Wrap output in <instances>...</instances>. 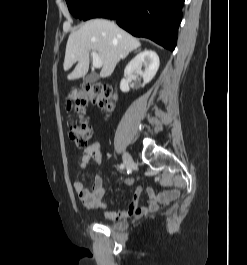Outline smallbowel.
<instances>
[{
    "label": "small bowel",
    "instance_id": "obj_1",
    "mask_svg": "<svg viewBox=\"0 0 247 265\" xmlns=\"http://www.w3.org/2000/svg\"><path fill=\"white\" fill-rule=\"evenodd\" d=\"M90 159H93L97 164H102L103 155L100 143L94 142L87 146L81 156L80 167L86 169ZM74 190L85 207L103 210V216L110 221L122 220L132 216L140 217L158 211L161 207L169 204L179 195L177 190H166L158 194L154 193L152 190H148V202L140 206L139 200L142 193V186L138 185L133 192L130 205L125 210H108L103 201L104 185L101 176H96L94 178L91 189H87L80 181H75Z\"/></svg>",
    "mask_w": 247,
    "mask_h": 265
}]
</instances>
